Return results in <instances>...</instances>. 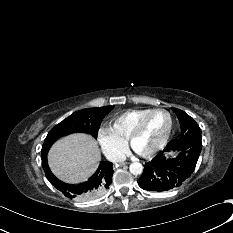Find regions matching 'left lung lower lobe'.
<instances>
[{"label":"left lung lower lobe","instance_id":"0a47b994","mask_svg":"<svg viewBox=\"0 0 233 233\" xmlns=\"http://www.w3.org/2000/svg\"><path fill=\"white\" fill-rule=\"evenodd\" d=\"M202 145L193 148L187 145L168 143L163 151L145 163L138 185L148 191H168L182 184L194 171ZM178 152L176 158H166L165 152Z\"/></svg>","mask_w":233,"mask_h":233}]
</instances>
